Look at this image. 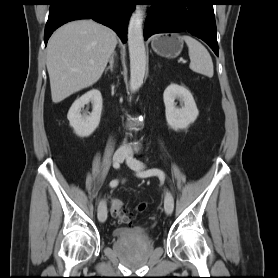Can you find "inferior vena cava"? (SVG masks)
<instances>
[{
  "label": "inferior vena cava",
  "mask_w": 278,
  "mask_h": 278,
  "mask_svg": "<svg viewBox=\"0 0 278 278\" xmlns=\"http://www.w3.org/2000/svg\"><path fill=\"white\" fill-rule=\"evenodd\" d=\"M119 152L123 153V154H129L130 153V148L124 144L123 146H121L119 148Z\"/></svg>",
  "instance_id": "1"
}]
</instances>
